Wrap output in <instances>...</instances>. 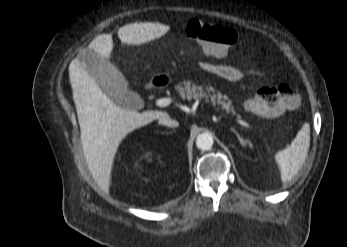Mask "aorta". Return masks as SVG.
I'll list each match as a JSON object with an SVG mask.
<instances>
[{
  "label": "aorta",
  "mask_w": 347,
  "mask_h": 247,
  "mask_svg": "<svg viewBox=\"0 0 347 247\" xmlns=\"http://www.w3.org/2000/svg\"><path fill=\"white\" fill-rule=\"evenodd\" d=\"M196 146L202 151L210 150L213 146L212 135L209 133H202L198 135L196 139Z\"/></svg>",
  "instance_id": "762f6f07"
}]
</instances>
